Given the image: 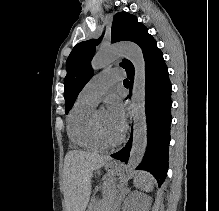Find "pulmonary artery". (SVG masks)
Listing matches in <instances>:
<instances>
[{
	"label": "pulmonary artery",
	"mask_w": 219,
	"mask_h": 211,
	"mask_svg": "<svg viewBox=\"0 0 219 211\" xmlns=\"http://www.w3.org/2000/svg\"><path fill=\"white\" fill-rule=\"evenodd\" d=\"M123 69H108L94 75L80 91L78 98L97 104L99 98L109 89L113 82L122 80Z\"/></svg>",
	"instance_id": "pulmonary-artery-1"
}]
</instances>
